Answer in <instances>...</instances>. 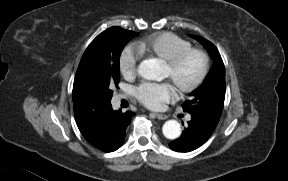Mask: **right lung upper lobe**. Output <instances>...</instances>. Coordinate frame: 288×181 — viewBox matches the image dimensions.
<instances>
[{
  "label": "right lung upper lobe",
  "mask_w": 288,
  "mask_h": 181,
  "mask_svg": "<svg viewBox=\"0 0 288 181\" xmlns=\"http://www.w3.org/2000/svg\"><path fill=\"white\" fill-rule=\"evenodd\" d=\"M73 105L76 123L82 135L93 146L99 145L104 138L105 118L110 103L86 90L75 78Z\"/></svg>",
  "instance_id": "right-lung-upper-lobe-1"
}]
</instances>
